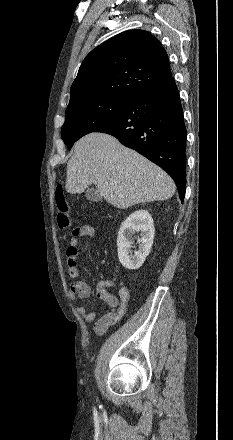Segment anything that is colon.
I'll return each mask as SVG.
<instances>
[{"mask_svg": "<svg viewBox=\"0 0 233 440\" xmlns=\"http://www.w3.org/2000/svg\"><path fill=\"white\" fill-rule=\"evenodd\" d=\"M55 203L57 207L58 227L60 229L69 228L71 224L70 216H69V205L66 199L65 191L61 184H58L55 189Z\"/></svg>", "mask_w": 233, "mask_h": 440, "instance_id": "5ec220e1", "label": "colon"}]
</instances>
